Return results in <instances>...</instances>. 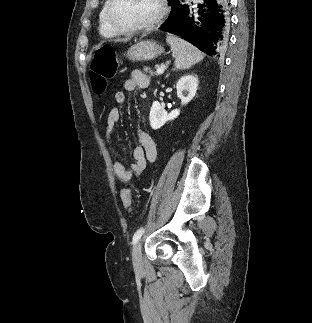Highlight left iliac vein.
Returning <instances> with one entry per match:
<instances>
[{
	"label": "left iliac vein",
	"mask_w": 312,
	"mask_h": 323,
	"mask_svg": "<svg viewBox=\"0 0 312 323\" xmlns=\"http://www.w3.org/2000/svg\"><path fill=\"white\" fill-rule=\"evenodd\" d=\"M141 248L142 245L140 242H138L132 252V262H133V267L136 271L141 270L142 268V254H141Z\"/></svg>",
	"instance_id": "left-iliac-vein-1"
}]
</instances>
